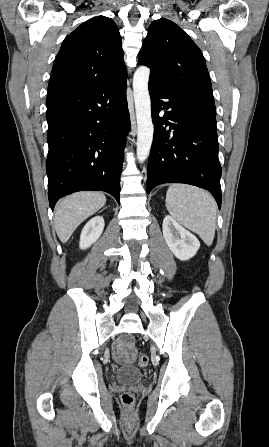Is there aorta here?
Segmentation results:
<instances>
[{"instance_id":"aorta-1","label":"aorta","mask_w":269,"mask_h":447,"mask_svg":"<svg viewBox=\"0 0 269 447\" xmlns=\"http://www.w3.org/2000/svg\"><path fill=\"white\" fill-rule=\"evenodd\" d=\"M150 68L140 66L133 78V92L137 120V148L136 156L140 164L147 160L154 134L151 118V100L148 92Z\"/></svg>"}]
</instances>
